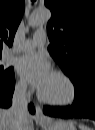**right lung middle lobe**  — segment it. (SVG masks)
<instances>
[{"label": "right lung middle lobe", "mask_w": 95, "mask_h": 130, "mask_svg": "<svg viewBox=\"0 0 95 130\" xmlns=\"http://www.w3.org/2000/svg\"><path fill=\"white\" fill-rule=\"evenodd\" d=\"M14 77V69L12 67L7 68L0 62V82L3 83Z\"/></svg>", "instance_id": "1"}]
</instances>
